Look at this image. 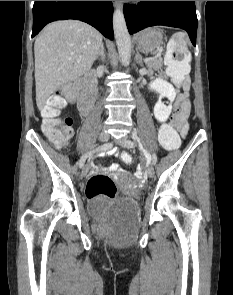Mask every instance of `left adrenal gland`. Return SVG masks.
<instances>
[{
  "mask_svg": "<svg viewBox=\"0 0 233 295\" xmlns=\"http://www.w3.org/2000/svg\"><path fill=\"white\" fill-rule=\"evenodd\" d=\"M135 60L140 66H143V59L138 50H136Z\"/></svg>",
  "mask_w": 233,
  "mask_h": 295,
  "instance_id": "left-adrenal-gland-1",
  "label": "left adrenal gland"
}]
</instances>
